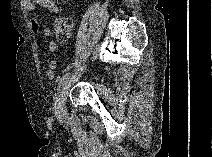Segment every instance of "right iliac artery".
Segmentation results:
<instances>
[{"mask_svg": "<svg viewBox=\"0 0 212 157\" xmlns=\"http://www.w3.org/2000/svg\"><path fill=\"white\" fill-rule=\"evenodd\" d=\"M99 51V48L96 47V49L94 50V53H93V59H95L97 57V53ZM69 78V73H66L65 75L62 76V78L59 80V83H58V90L60 88L63 87L64 83L66 82V80ZM58 97H56V101H55V112L58 111Z\"/></svg>", "mask_w": 212, "mask_h": 157, "instance_id": "1", "label": "right iliac artery"}]
</instances>
